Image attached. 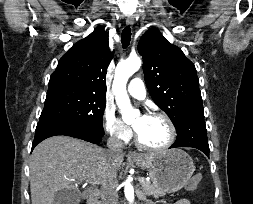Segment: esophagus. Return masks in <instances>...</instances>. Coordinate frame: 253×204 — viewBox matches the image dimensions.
<instances>
[{"mask_svg":"<svg viewBox=\"0 0 253 204\" xmlns=\"http://www.w3.org/2000/svg\"><path fill=\"white\" fill-rule=\"evenodd\" d=\"M126 24H127L128 26H132V25L134 24V18H133L132 16H129V17L126 19ZM128 156L131 157V158H139V157H140L137 153L132 152V151L129 152Z\"/></svg>","mask_w":253,"mask_h":204,"instance_id":"esophagus-1","label":"esophagus"}]
</instances>
